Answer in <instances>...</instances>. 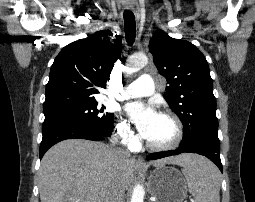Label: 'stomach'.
<instances>
[{
    "mask_svg": "<svg viewBox=\"0 0 255 202\" xmlns=\"http://www.w3.org/2000/svg\"><path fill=\"white\" fill-rule=\"evenodd\" d=\"M148 190L158 202H183L188 185L181 172L170 166H157L148 178Z\"/></svg>",
    "mask_w": 255,
    "mask_h": 202,
    "instance_id": "1",
    "label": "stomach"
}]
</instances>
